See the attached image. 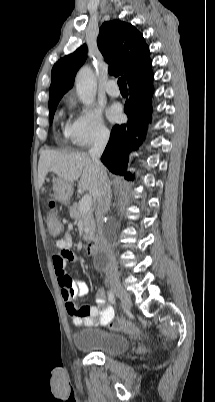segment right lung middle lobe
<instances>
[{"mask_svg":"<svg viewBox=\"0 0 215 402\" xmlns=\"http://www.w3.org/2000/svg\"><path fill=\"white\" fill-rule=\"evenodd\" d=\"M60 99H61V98H57V99H54V100H52V101H49L50 123H51L52 120H53L54 113H55L56 107H57V105H58Z\"/></svg>","mask_w":215,"mask_h":402,"instance_id":"dd1d6c3e","label":"right lung middle lobe"}]
</instances>
